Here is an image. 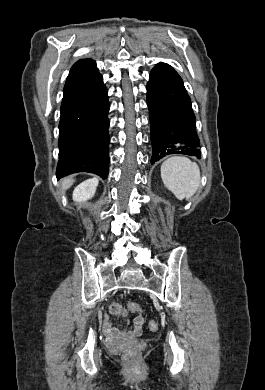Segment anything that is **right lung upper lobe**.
Here are the masks:
<instances>
[{
	"label": "right lung upper lobe",
	"instance_id": "1",
	"mask_svg": "<svg viewBox=\"0 0 265 390\" xmlns=\"http://www.w3.org/2000/svg\"><path fill=\"white\" fill-rule=\"evenodd\" d=\"M91 62H93L92 59H83V60H79V61H77V62L72 66L70 72H72V71H74V70H76V69H78V68H80V67H83V66H85V65H87V64H89V63H91Z\"/></svg>",
	"mask_w": 265,
	"mask_h": 390
}]
</instances>
